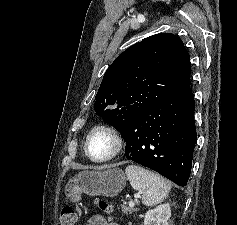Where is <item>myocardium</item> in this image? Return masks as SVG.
<instances>
[{
	"label": "myocardium",
	"mask_w": 237,
	"mask_h": 225,
	"mask_svg": "<svg viewBox=\"0 0 237 225\" xmlns=\"http://www.w3.org/2000/svg\"><path fill=\"white\" fill-rule=\"evenodd\" d=\"M97 134H104L108 136L112 142L111 150L105 156L102 157H95L90 152L91 139ZM123 147H124V140L119 131L114 127L108 125H99L91 129L87 134L84 142V150L86 155L92 161L97 163H106L113 160L122 152Z\"/></svg>",
	"instance_id": "obj_1"
}]
</instances>
